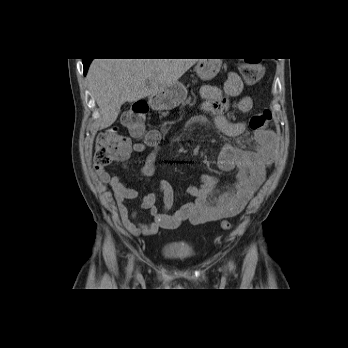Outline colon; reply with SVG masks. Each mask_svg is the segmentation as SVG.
Returning a JSON list of instances; mask_svg holds the SVG:
<instances>
[{
	"label": "colon",
	"instance_id": "5ec220e1",
	"mask_svg": "<svg viewBox=\"0 0 348 348\" xmlns=\"http://www.w3.org/2000/svg\"><path fill=\"white\" fill-rule=\"evenodd\" d=\"M240 72L243 79L249 84L258 83L263 74L264 66L260 59H243L240 63ZM148 113V104L139 100L123 114L122 124L135 137H143L148 144L157 143L161 137V130H150L145 132V117ZM271 115L269 112H261L250 118L249 124L252 129L260 130L269 125ZM132 148L130 138L118 132L116 128H110L102 132L97 139L95 151V164L105 167L114 161H121L129 155ZM223 229H229L230 224L224 222Z\"/></svg>",
	"mask_w": 348,
	"mask_h": 348
}]
</instances>
